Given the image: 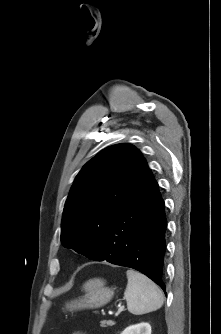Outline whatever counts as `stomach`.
<instances>
[{
    "label": "stomach",
    "mask_w": 221,
    "mask_h": 334,
    "mask_svg": "<svg viewBox=\"0 0 221 334\" xmlns=\"http://www.w3.org/2000/svg\"><path fill=\"white\" fill-rule=\"evenodd\" d=\"M85 295L66 304V309L76 311L95 309L106 305L114 296V290L105 286L102 279H90L83 285Z\"/></svg>",
    "instance_id": "stomach-1"
}]
</instances>
